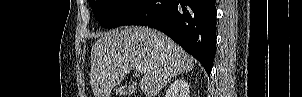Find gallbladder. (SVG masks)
Listing matches in <instances>:
<instances>
[{"instance_id":"gallbladder-1","label":"gallbladder","mask_w":302,"mask_h":97,"mask_svg":"<svg viewBox=\"0 0 302 97\" xmlns=\"http://www.w3.org/2000/svg\"><path fill=\"white\" fill-rule=\"evenodd\" d=\"M135 91L134 87L132 86H119L116 88V93H119L120 95H129L132 94Z\"/></svg>"}]
</instances>
